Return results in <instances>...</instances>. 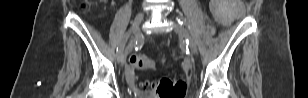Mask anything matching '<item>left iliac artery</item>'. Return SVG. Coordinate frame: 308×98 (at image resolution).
Segmentation results:
<instances>
[{
    "mask_svg": "<svg viewBox=\"0 0 308 98\" xmlns=\"http://www.w3.org/2000/svg\"><path fill=\"white\" fill-rule=\"evenodd\" d=\"M177 21H178V23L181 24V25H182V24H185V22H186V20L183 19V18H181V17H179V18L177 17Z\"/></svg>",
    "mask_w": 308,
    "mask_h": 98,
    "instance_id": "1",
    "label": "left iliac artery"
}]
</instances>
